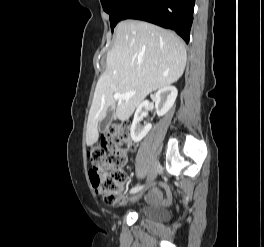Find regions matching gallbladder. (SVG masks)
Returning a JSON list of instances; mask_svg holds the SVG:
<instances>
[{"label": "gallbladder", "mask_w": 264, "mask_h": 247, "mask_svg": "<svg viewBox=\"0 0 264 247\" xmlns=\"http://www.w3.org/2000/svg\"><path fill=\"white\" fill-rule=\"evenodd\" d=\"M107 115H106V117L103 119V120H101L99 123V131H101V132H104V131H106V128L108 127V125L110 124V122H111V118H113V114H114V112L112 111V109H109V111H107V113H106Z\"/></svg>", "instance_id": "bac80fb5"}]
</instances>
